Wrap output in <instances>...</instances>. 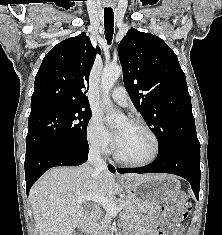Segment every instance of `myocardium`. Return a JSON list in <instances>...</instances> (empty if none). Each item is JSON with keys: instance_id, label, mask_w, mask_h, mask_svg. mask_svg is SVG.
Instances as JSON below:
<instances>
[{"instance_id": "obj_1", "label": "myocardium", "mask_w": 222, "mask_h": 235, "mask_svg": "<svg viewBox=\"0 0 222 235\" xmlns=\"http://www.w3.org/2000/svg\"><path fill=\"white\" fill-rule=\"evenodd\" d=\"M129 123H131L134 126L140 127L144 129L147 133L151 135V137L154 140L155 143V151L154 154L149 158L148 160L141 161V162H136V161H131L126 159L120 152L118 142L115 144V158L121 162L122 164L132 166V167H143L152 164L153 162L156 161V159L159 157L160 152H161V143L158 135L155 133V131L147 125L145 122L139 120V119H130Z\"/></svg>"}]
</instances>
